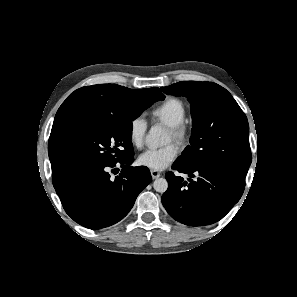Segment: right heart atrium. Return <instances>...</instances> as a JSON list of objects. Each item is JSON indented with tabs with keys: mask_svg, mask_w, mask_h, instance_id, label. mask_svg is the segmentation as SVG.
Wrapping results in <instances>:
<instances>
[{
	"mask_svg": "<svg viewBox=\"0 0 297 297\" xmlns=\"http://www.w3.org/2000/svg\"><path fill=\"white\" fill-rule=\"evenodd\" d=\"M147 131V122L142 116L133 117L128 125V134L133 146L141 148Z\"/></svg>",
	"mask_w": 297,
	"mask_h": 297,
	"instance_id": "1",
	"label": "right heart atrium"
}]
</instances>
